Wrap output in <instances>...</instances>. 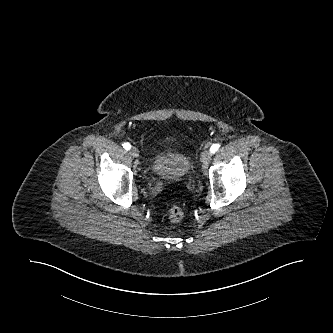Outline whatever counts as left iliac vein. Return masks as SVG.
Returning a JSON list of instances; mask_svg holds the SVG:
<instances>
[{"label":"left iliac vein","instance_id":"left-iliac-vein-1","mask_svg":"<svg viewBox=\"0 0 333 333\" xmlns=\"http://www.w3.org/2000/svg\"><path fill=\"white\" fill-rule=\"evenodd\" d=\"M211 157H212V154H211V152L209 150H204L201 153L200 161L203 164V166H207L208 165V163L211 160Z\"/></svg>","mask_w":333,"mask_h":333}]
</instances>
